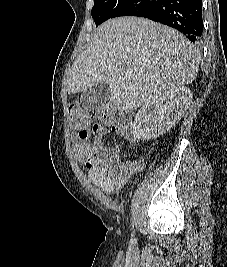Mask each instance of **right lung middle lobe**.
Here are the masks:
<instances>
[{
    "label": "right lung middle lobe",
    "mask_w": 227,
    "mask_h": 267,
    "mask_svg": "<svg viewBox=\"0 0 227 267\" xmlns=\"http://www.w3.org/2000/svg\"><path fill=\"white\" fill-rule=\"evenodd\" d=\"M129 0H95L91 15L96 26L112 18Z\"/></svg>",
    "instance_id": "dd1d6c3e"
}]
</instances>
